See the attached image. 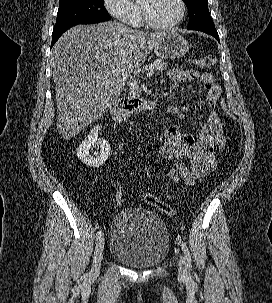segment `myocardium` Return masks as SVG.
<instances>
[{"label": "myocardium", "mask_w": 272, "mask_h": 303, "mask_svg": "<svg viewBox=\"0 0 272 303\" xmlns=\"http://www.w3.org/2000/svg\"><path fill=\"white\" fill-rule=\"evenodd\" d=\"M147 2H148L147 0H140L139 6H140L141 17H142L144 24L151 29L159 30V31L173 29L176 26H178L185 17V14H186L185 1L178 0L179 6H180V13H179V16L177 17V19L167 25L158 24L151 17Z\"/></svg>", "instance_id": "f54148a6"}]
</instances>
